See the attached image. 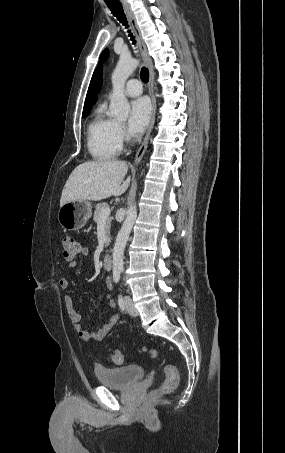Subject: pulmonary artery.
I'll return each instance as SVG.
<instances>
[{"label": "pulmonary artery", "mask_w": 285, "mask_h": 453, "mask_svg": "<svg viewBox=\"0 0 285 453\" xmlns=\"http://www.w3.org/2000/svg\"><path fill=\"white\" fill-rule=\"evenodd\" d=\"M125 93L130 97L140 95L142 93L141 82L138 79H130L125 85Z\"/></svg>", "instance_id": "1"}]
</instances>
